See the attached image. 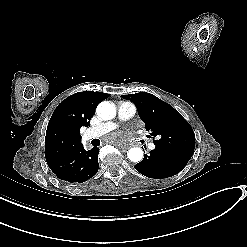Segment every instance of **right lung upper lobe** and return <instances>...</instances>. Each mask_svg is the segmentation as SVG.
Returning <instances> with one entry per match:
<instances>
[{
	"instance_id": "obj_1",
	"label": "right lung upper lobe",
	"mask_w": 247,
	"mask_h": 247,
	"mask_svg": "<svg viewBox=\"0 0 247 247\" xmlns=\"http://www.w3.org/2000/svg\"><path fill=\"white\" fill-rule=\"evenodd\" d=\"M110 94L77 92L63 100L54 110L45 138L46 159L52 158L81 142L80 128L88 126L96 106Z\"/></svg>"
}]
</instances>
